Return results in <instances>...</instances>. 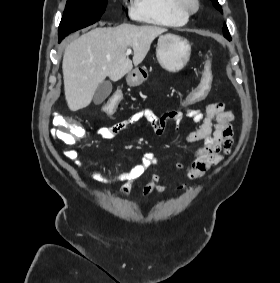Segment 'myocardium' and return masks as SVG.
<instances>
[{
    "instance_id": "obj_1",
    "label": "myocardium",
    "mask_w": 280,
    "mask_h": 283,
    "mask_svg": "<svg viewBox=\"0 0 280 283\" xmlns=\"http://www.w3.org/2000/svg\"><path fill=\"white\" fill-rule=\"evenodd\" d=\"M187 14H194L199 10V0H178Z\"/></svg>"
}]
</instances>
